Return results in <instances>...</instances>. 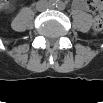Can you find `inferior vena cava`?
Here are the masks:
<instances>
[{
	"label": "inferior vena cava",
	"instance_id": "1",
	"mask_svg": "<svg viewBox=\"0 0 103 103\" xmlns=\"http://www.w3.org/2000/svg\"><path fill=\"white\" fill-rule=\"evenodd\" d=\"M41 3H44V2H38V5H37L38 10H45L47 6L41 5Z\"/></svg>",
	"mask_w": 103,
	"mask_h": 103
}]
</instances>
